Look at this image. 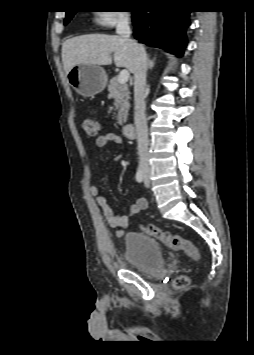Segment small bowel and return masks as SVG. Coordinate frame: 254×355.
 <instances>
[{
    "mask_svg": "<svg viewBox=\"0 0 254 355\" xmlns=\"http://www.w3.org/2000/svg\"><path fill=\"white\" fill-rule=\"evenodd\" d=\"M123 142L122 138L115 133H106L98 136L95 140L96 147L102 148L110 143L121 144ZM120 159L117 156L110 160L108 163L111 164L114 161ZM99 166V163L96 164ZM90 194L96 200L99 207L102 209V214L108 225L116 230V235L121 237L125 233V229L128 226L131 219L136 217L139 213L147 209L148 201L143 197H138L133 204L129 207L127 214H118L109 206L107 199L103 196L97 186L92 185L89 188Z\"/></svg>",
    "mask_w": 254,
    "mask_h": 355,
    "instance_id": "small-bowel-1",
    "label": "small bowel"
}]
</instances>
